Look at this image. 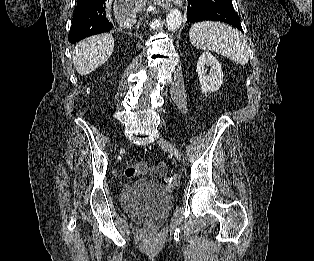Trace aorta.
Listing matches in <instances>:
<instances>
[{
	"instance_id": "obj_1",
	"label": "aorta",
	"mask_w": 314,
	"mask_h": 261,
	"mask_svg": "<svg viewBox=\"0 0 314 261\" xmlns=\"http://www.w3.org/2000/svg\"><path fill=\"white\" fill-rule=\"evenodd\" d=\"M182 24V13L178 9H171L166 17V27L169 31H177Z\"/></svg>"
}]
</instances>
